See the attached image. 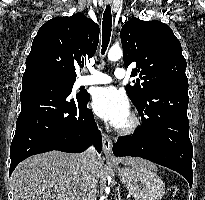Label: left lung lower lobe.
Listing matches in <instances>:
<instances>
[{"instance_id": "left-lung-lower-lobe-1", "label": "left lung lower lobe", "mask_w": 205, "mask_h": 200, "mask_svg": "<svg viewBox=\"0 0 205 200\" xmlns=\"http://www.w3.org/2000/svg\"><path fill=\"white\" fill-rule=\"evenodd\" d=\"M147 100L141 127L134 135L116 141L114 155L139 156L168 167L184 176L191 187L193 147L187 117L188 85L156 87Z\"/></svg>"}]
</instances>
